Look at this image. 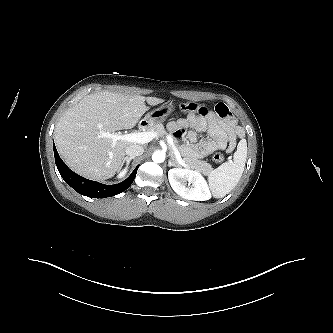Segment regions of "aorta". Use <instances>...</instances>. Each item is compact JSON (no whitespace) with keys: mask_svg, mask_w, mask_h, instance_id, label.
<instances>
[{"mask_svg":"<svg viewBox=\"0 0 333 333\" xmlns=\"http://www.w3.org/2000/svg\"><path fill=\"white\" fill-rule=\"evenodd\" d=\"M152 160L156 163H162L165 160V153L163 151H155L152 155Z\"/></svg>","mask_w":333,"mask_h":333,"instance_id":"762f6f07","label":"aorta"}]
</instances>
